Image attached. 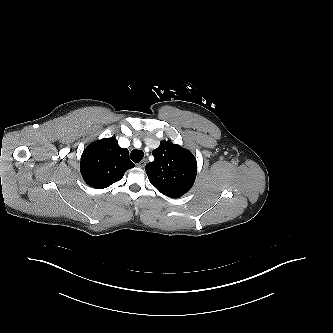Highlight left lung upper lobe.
<instances>
[{
    "mask_svg": "<svg viewBox=\"0 0 333 333\" xmlns=\"http://www.w3.org/2000/svg\"><path fill=\"white\" fill-rule=\"evenodd\" d=\"M154 161L146 165L150 183L162 194L179 198L193 186L197 174V161L193 154L173 144L161 141L153 150Z\"/></svg>",
    "mask_w": 333,
    "mask_h": 333,
    "instance_id": "left-lung-upper-lobe-1",
    "label": "left lung upper lobe"
}]
</instances>
